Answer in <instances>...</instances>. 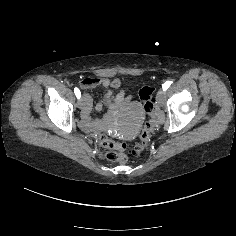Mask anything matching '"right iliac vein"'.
I'll use <instances>...</instances> for the list:
<instances>
[{
    "instance_id": "right-iliac-vein-1",
    "label": "right iliac vein",
    "mask_w": 236,
    "mask_h": 236,
    "mask_svg": "<svg viewBox=\"0 0 236 236\" xmlns=\"http://www.w3.org/2000/svg\"><path fill=\"white\" fill-rule=\"evenodd\" d=\"M77 104L80 109H83L85 106V97L82 96L81 99L78 100Z\"/></svg>"
}]
</instances>
